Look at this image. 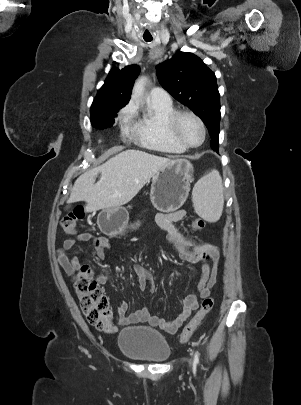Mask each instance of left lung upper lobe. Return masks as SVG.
I'll use <instances>...</instances> for the list:
<instances>
[{
  "label": "left lung upper lobe",
  "instance_id": "1",
  "mask_svg": "<svg viewBox=\"0 0 301 405\" xmlns=\"http://www.w3.org/2000/svg\"><path fill=\"white\" fill-rule=\"evenodd\" d=\"M156 69L162 87L202 119L211 145L219 146L220 96L215 74L199 57L186 52H179Z\"/></svg>",
  "mask_w": 301,
  "mask_h": 405
}]
</instances>
